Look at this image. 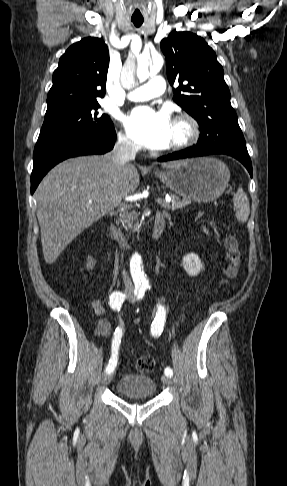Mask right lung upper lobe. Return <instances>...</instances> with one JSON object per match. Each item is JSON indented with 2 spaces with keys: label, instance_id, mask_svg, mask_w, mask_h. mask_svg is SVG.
Returning <instances> with one entry per match:
<instances>
[{
  "label": "right lung upper lobe",
  "instance_id": "1",
  "mask_svg": "<svg viewBox=\"0 0 287 486\" xmlns=\"http://www.w3.org/2000/svg\"><path fill=\"white\" fill-rule=\"evenodd\" d=\"M109 52L101 38L87 37L71 45L53 73L48 107L99 99L105 95Z\"/></svg>",
  "mask_w": 287,
  "mask_h": 486
}]
</instances>
